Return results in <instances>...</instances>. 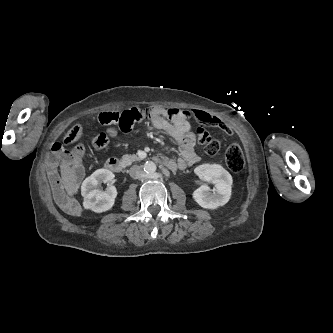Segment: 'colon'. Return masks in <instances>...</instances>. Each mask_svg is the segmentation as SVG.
<instances>
[{"mask_svg":"<svg viewBox=\"0 0 333 333\" xmlns=\"http://www.w3.org/2000/svg\"><path fill=\"white\" fill-rule=\"evenodd\" d=\"M155 115V112L151 108H144L139 106L137 108H131L128 111L123 112H103L99 115L98 120L103 125H118L119 128H123L131 123H136L144 119H151ZM82 126L75 125L71 127L63 140L54 143L52 151L56 155H62L66 152L65 147L74 145L82 135ZM196 137L198 142L204 147V151L207 155H215L220 149V143L218 140L212 138L208 131L199 126L196 129ZM108 144V137L105 134H100L92 140V146L94 149H102ZM80 146H77L78 149ZM225 162L227 167L235 173L240 172L245 166V158L241 147L238 144L230 145L225 152Z\"/></svg>","mask_w":333,"mask_h":333,"instance_id":"obj_1","label":"colon"}]
</instances>
